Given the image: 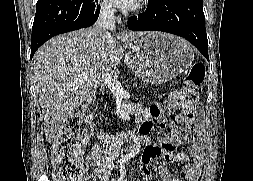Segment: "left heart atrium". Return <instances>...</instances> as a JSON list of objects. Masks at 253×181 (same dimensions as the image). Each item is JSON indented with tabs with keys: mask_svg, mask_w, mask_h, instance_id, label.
I'll return each instance as SVG.
<instances>
[{
	"mask_svg": "<svg viewBox=\"0 0 253 181\" xmlns=\"http://www.w3.org/2000/svg\"><path fill=\"white\" fill-rule=\"evenodd\" d=\"M114 5L124 10L135 9L141 0H111Z\"/></svg>",
	"mask_w": 253,
	"mask_h": 181,
	"instance_id": "39dd6f15",
	"label": "left heart atrium"
}]
</instances>
